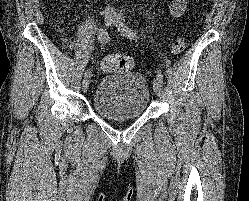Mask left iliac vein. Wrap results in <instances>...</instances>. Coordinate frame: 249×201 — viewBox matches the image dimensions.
Returning a JSON list of instances; mask_svg holds the SVG:
<instances>
[{
    "label": "left iliac vein",
    "mask_w": 249,
    "mask_h": 201,
    "mask_svg": "<svg viewBox=\"0 0 249 201\" xmlns=\"http://www.w3.org/2000/svg\"><path fill=\"white\" fill-rule=\"evenodd\" d=\"M114 23L118 30L124 35L122 29L125 27V19L121 14L115 13ZM153 89L157 96H160L162 93V81L156 78L153 82Z\"/></svg>",
    "instance_id": "obj_1"
}]
</instances>
